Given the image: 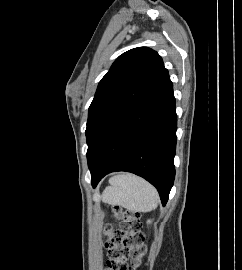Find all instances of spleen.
Returning <instances> with one entry per match:
<instances>
[{"mask_svg":"<svg viewBox=\"0 0 242 270\" xmlns=\"http://www.w3.org/2000/svg\"><path fill=\"white\" fill-rule=\"evenodd\" d=\"M102 200L111 205H121L133 212H148L159 203L157 190L144 179L122 174L113 178L111 186L102 194Z\"/></svg>","mask_w":242,"mask_h":270,"instance_id":"spleen-1","label":"spleen"}]
</instances>
